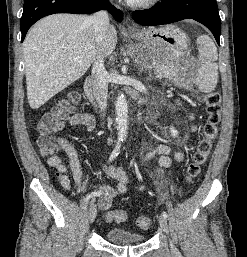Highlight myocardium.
<instances>
[{
	"label": "myocardium",
	"instance_id": "myocardium-1",
	"mask_svg": "<svg viewBox=\"0 0 247 257\" xmlns=\"http://www.w3.org/2000/svg\"><path fill=\"white\" fill-rule=\"evenodd\" d=\"M160 0H138L129 2V5L135 8L147 9L157 5Z\"/></svg>",
	"mask_w": 247,
	"mask_h": 257
}]
</instances>
